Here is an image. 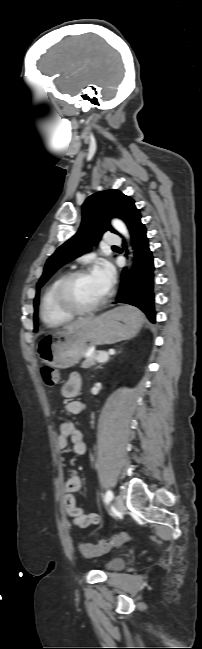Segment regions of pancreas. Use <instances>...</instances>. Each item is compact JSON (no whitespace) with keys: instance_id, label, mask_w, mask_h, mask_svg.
Returning <instances> with one entry per match:
<instances>
[{"instance_id":"obj_1","label":"pancreas","mask_w":202,"mask_h":649,"mask_svg":"<svg viewBox=\"0 0 202 649\" xmlns=\"http://www.w3.org/2000/svg\"><path fill=\"white\" fill-rule=\"evenodd\" d=\"M96 353H97V354H100V353H106V354H108L106 351H97ZM94 365H96V357H95V355H94V356H91V357H89V358H87V359L82 363L81 367H82V368H90V367H92V366H94Z\"/></svg>"}]
</instances>
